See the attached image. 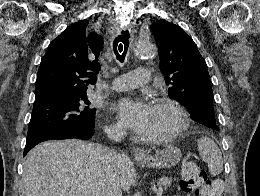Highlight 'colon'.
I'll return each instance as SVG.
<instances>
[{"label": "colon", "mask_w": 260, "mask_h": 196, "mask_svg": "<svg viewBox=\"0 0 260 196\" xmlns=\"http://www.w3.org/2000/svg\"><path fill=\"white\" fill-rule=\"evenodd\" d=\"M181 182L186 191H199L200 189L207 188L209 185V180L205 172L196 162L191 160H187L182 165Z\"/></svg>", "instance_id": "obj_1"}]
</instances>
